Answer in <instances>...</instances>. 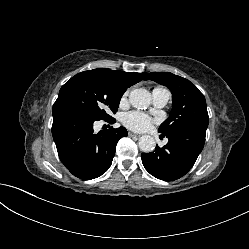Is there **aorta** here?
Instances as JSON below:
<instances>
[{"label": "aorta", "instance_id": "762f6f07", "mask_svg": "<svg viewBox=\"0 0 249 249\" xmlns=\"http://www.w3.org/2000/svg\"><path fill=\"white\" fill-rule=\"evenodd\" d=\"M129 101L137 109H143L150 105L151 94L143 88L135 89L130 92ZM139 148L143 152H151L155 148V140L150 135H143L139 138Z\"/></svg>", "mask_w": 249, "mask_h": 249}]
</instances>
